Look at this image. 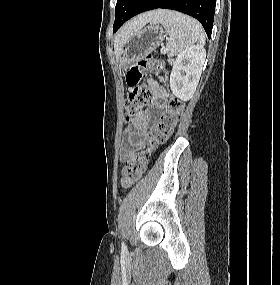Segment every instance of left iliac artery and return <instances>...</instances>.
I'll return each mask as SVG.
<instances>
[{
	"label": "left iliac artery",
	"instance_id": "left-iliac-artery-1",
	"mask_svg": "<svg viewBox=\"0 0 280 285\" xmlns=\"http://www.w3.org/2000/svg\"><path fill=\"white\" fill-rule=\"evenodd\" d=\"M122 249H123V250L126 249V246H125L124 242L122 243Z\"/></svg>",
	"mask_w": 280,
	"mask_h": 285
}]
</instances>
